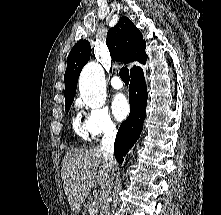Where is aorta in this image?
I'll list each match as a JSON object with an SVG mask.
<instances>
[{
  "mask_svg": "<svg viewBox=\"0 0 221 215\" xmlns=\"http://www.w3.org/2000/svg\"><path fill=\"white\" fill-rule=\"evenodd\" d=\"M81 97L94 108L102 107L106 101V81L103 68L96 62L88 63L79 77Z\"/></svg>",
  "mask_w": 221,
  "mask_h": 215,
  "instance_id": "1",
  "label": "aorta"
}]
</instances>
